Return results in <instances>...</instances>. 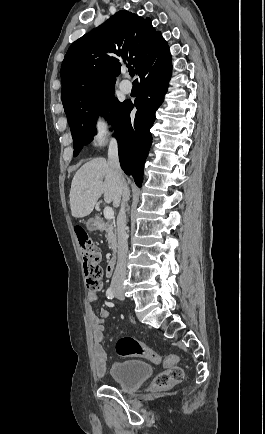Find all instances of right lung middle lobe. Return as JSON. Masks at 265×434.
Instances as JSON below:
<instances>
[{"label": "right lung middle lobe", "mask_w": 265, "mask_h": 434, "mask_svg": "<svg viewBox=\"0 0 265 434\" xmlns=\"http://www.w3.org/2000/svg\"><path fill=\"white\" fill-rule=\"evenodd\" d=\"M113 94L114 84L85 94L77 99L63 102L73 137L75 156L80 152L83 145L92 141L93 135L96 134V117L102 110L111 111L115 128L121 124L130 101L121 103Z\"/></svg>", "instance_id": "dd1d6c3e"}]
</instances>
